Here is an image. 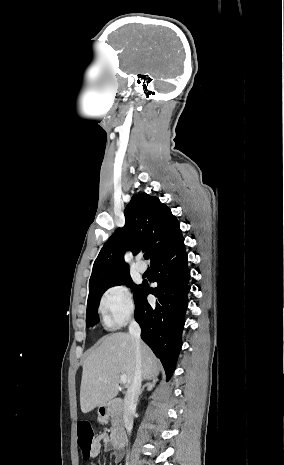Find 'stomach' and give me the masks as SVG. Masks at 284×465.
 Wrapping results in <instances>:
<instances>
[{
	"label": "stomach",
	"mask_w": 284,
	"mask_h": 465,
	"mask_svg": "<svg viewBox=\"0 0 284 465\" xmlns=\"http://www.w3.org/2000/svg\"><path fill=\"white\" fill-rule=\"evenodd\" d=\"M99 423H105V417H98Z\"/></svg>",
	"instance_id": "obj_1"
}]
</instances>
